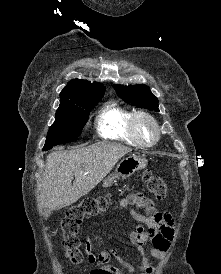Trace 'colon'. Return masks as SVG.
Listing matches in <instances>:
<instances>
[{
  "label": "colon",
  "mask_w": 221,
  "mask_h": 274,
  "mask_svg": "<svg viewBox=\"0 0 221 274\" xmlns=\"http://www.w3.org/2000/svg\"><path fill=\"white\" fill-rule=\"evenodd\" d=\"M141 178L148 191L157 200L164 199L167 192V185L161 176L150 170H145L142 172ZM109 201V195L86 198L79 205L69 209L63 218L61 223L63 245L68 258L73 263L78 264L83 260V253L80 249V239L78 237V231L83 219L104 211L108 207Z\"/></svg>",
  "instance_id": "5ec220e1"
}]
</instances>
